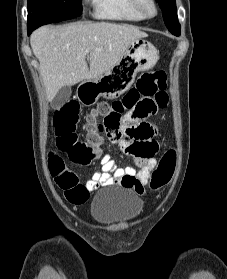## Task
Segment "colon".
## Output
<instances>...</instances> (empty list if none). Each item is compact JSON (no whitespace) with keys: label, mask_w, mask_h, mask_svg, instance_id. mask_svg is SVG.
I'll return each mask as SVG.
<instances>
[{"label":"colon","mask_w":227,"mask_h":279,"mask_svg":"<svg viewBox=\"0 0 227 279\" xmlns=\"http://www.w3.org/2000/svg\"><path fill=\"white\" fill-rule=\"evenodd\" d=\"M166 78L163 71L144 72L139 76L136 85L123 98L100 103L97 110L88 116L94 136L90 144L81 141L76 131L80 116L79 104L76 101L65 103L54 112L52 118L54 135L59 149L66 153L67 158L74 163L89 165L100 155L98 136L103 133L105 125L112 134L118 136L127 120L124 115L126 111H129L127 118L141 120L154 115L158 109L167 105ZM125 131L135 139V142L129 147L132 156L149 159L156 154L158 148L150 141L154 134L151 126L133 125L125 128ZM67 158L57 153H51L48 165L52 177L58 179L65 196L74 197L82 191L83 185L77 174L66 165ZM176 163L174 150H168L152 172L151 188L158 189L166 186L174 175ZM124 185L136 188L135 190L139 194L143 192L141 181L137 178L126 179Z\"/></svg>","instance_id":"colon-1"}]
</instances>
